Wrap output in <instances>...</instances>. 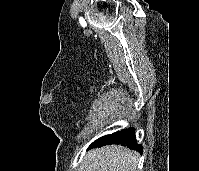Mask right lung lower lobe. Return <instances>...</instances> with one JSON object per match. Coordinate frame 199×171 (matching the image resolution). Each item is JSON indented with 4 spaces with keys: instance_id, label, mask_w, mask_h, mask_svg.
I'll list each match as a JSON object with an SVG mask.
<instances>
[{
    "instance_id": "98d812e1",
    "label": "right lung lower lobe",
    "mask_w": 199,
    "mask_h": 171,
    "mask_svg": "<svg viewBox=\"0 0 199 171\" xmlns=\"http://www.w3.org/2000/svg\"><path fill=\"white\" fill-rule=\"evenodd\" d=\"M108 144H121L123 146H127L130 149L136 150L140 153H142L143 151L142 145L137 144L134 128L124 129L116 133L103 136L94 141L90 145V148L101 147L103 145H108Z\"/></svg>"
}]
</instances>
